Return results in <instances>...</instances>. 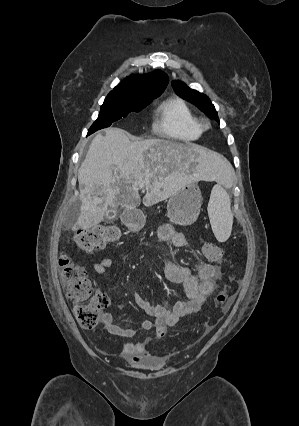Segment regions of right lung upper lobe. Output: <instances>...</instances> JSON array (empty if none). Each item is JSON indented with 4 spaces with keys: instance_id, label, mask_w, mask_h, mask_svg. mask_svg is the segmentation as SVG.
<instances>
[{
    "instance_id": "cb5924a9",
    "label": "right lung upper lobe",
    "mask_w": 299,
    "mask_h": 426,
    "mask_svg": "<svg viewBox=\"0 0 299 426\" xmlns=\"http://www.w3.org/2000/svg\"><path fill=\"white\" fill-rule=\"evenodd\" d=\"M168 81V76L165 73L156 70L151 74L126 78L109 94L122 99H137L146 92L164 91Z\"/></svg>"
}]
</instances>
